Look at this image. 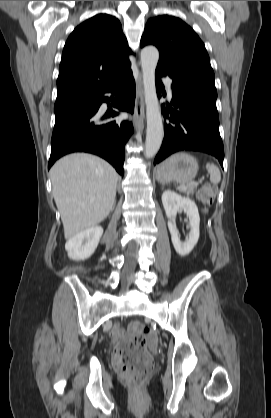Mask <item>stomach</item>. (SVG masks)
<instances>
[{"instance_id": "stomach-1", "label": "stomach", "mask_w": 271, "mask_h": 418, "mask_svg": "<svg viewBox=\"0 0 271 418\" xmlns=\"http://www.w3.org/2000/svg\"><path fill=\"white\" fill-rule=\"evenodd\" d=\"M197 160L187 153H176L162 162L156 171L158 181L162 183H187L196 176Z\"/></svg>"}]
</instances>
